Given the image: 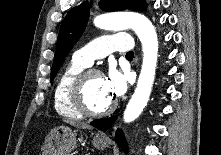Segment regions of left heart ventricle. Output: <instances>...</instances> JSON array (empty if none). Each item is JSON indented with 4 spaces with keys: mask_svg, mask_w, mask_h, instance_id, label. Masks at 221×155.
Wrapping results in <instances>:
<instances>
[{
    "mask_svg": "<svg viewBox=\"0 0 221 155\" xmlns=\"http://www.w3.org/2000/svg\"><path fill=\"white\" fill-rule=\"evenodd\" d=\"M84 98L88 107L94 111H101L114 100L106 89L102 75L92 76L84 89Z\"/></svg>",
    "mask_w": 221,
    "mask_h": 155,
    "instance_id": "b2bd125f",
    "label": "left heart ventricle"
}]
</instances>
